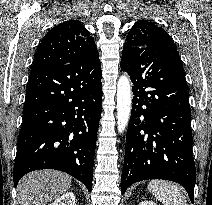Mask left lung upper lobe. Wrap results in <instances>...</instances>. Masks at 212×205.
Masks as SVG:
<instances>
[{"instance_id": "5c2ea615", "label": "left lung upper lobe", "mask_w": 212, "mask_h": 205, "mask_svg": "<svg viewBox=\"0 0 212 205\" xmlns=\"http://www.w3.org/2000/svg\"><path fill=\"white\" fill-rule=\"evenodd\" d=\"M149 44L169 46L177 49L172 38L163 28L151 21L140 20L133 25L128 33L122 57L130 54L134 47H144Z\"/></svg>"}]
</instances>
